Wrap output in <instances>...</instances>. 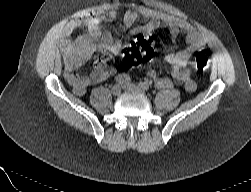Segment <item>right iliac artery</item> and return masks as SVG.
Here are the masks:
<instances>
[{
	"label": "right iliac artery",
	"instance_id": "right-iliac-artery-1",
	"mask_svg": "<svg viewBox=\"0 0 251 192\" xmlns=\"http://www.w3.org/2000/svg\"><path fill=\"white\" fill-rule=\"evenodd\" d=\"M115 82L117 84H125V83H129L130 82V77L126 74H119L115 77Z\"/></svg>",
	"mask_w": 251,
	"mask_h": 192
}]
</instances>
